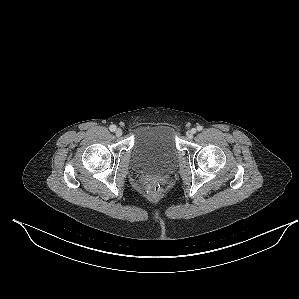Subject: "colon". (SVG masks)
<instances>
[{
  "label": "colon",
  "instance_id": "obj_1",
  "mask_svg": "<svg viewBox=\"0 0 299 299\" xmlns=\"http://www.w3.org/2000/svg\"><path fill=\"white\" fill-rule=\"evenodd\" d=\"M147 191L151 198H158L161 193V185L158 181L152 180L147 185Z\"/></svg>",
  "mask_w": 299,
  "mask_h": 299
}]
</instances>
